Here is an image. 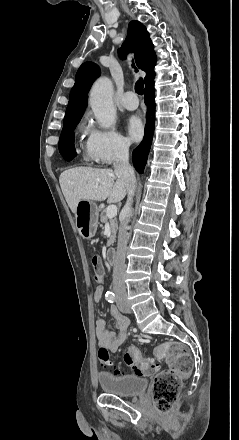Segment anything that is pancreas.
I'll return each mask as SVG.
<instances>
[{
  "label": "pancreas",
  "instance_id": "obj_1",
  "mask_svg": "<svg viewBox=\"0 0 239 440\" xmlns=\"http://www.w3.org/2000/svg\"><path fill=\"white\" fill-rule=\"evenodd\" d=\"M106 212L107 210H102L100 214V222H102V224H106V222H110L111 236L107 242V246H112V244H114L115 242V238L118 230L117 218H108Z\"/></svg>",
  "mask_w": 239,
  "mask_h": 440
}]
</instances>
